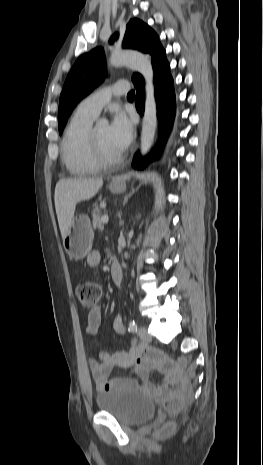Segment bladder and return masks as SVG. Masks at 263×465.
Returning a JSON list of instances; mask_svg holds the SVG:
<instances>
[{
  "instance_id": "31cf9c89",
  "label": "bladder",
  "mask_w": 263,
  "mask_h": 465,
  "mask_svg": "<svg viewBox=\"0 0 263 465\" xmlns=\"http://www.w3.org/2000/svg\"><path fill=\"white\" fill-rule=\"evenodd\" d=\"M96 403L100 411L112 415L126 426L147 422L155 414V405L149 397L128 388L101 391L96 396Z\"/></svg>"
}]
</instances>
